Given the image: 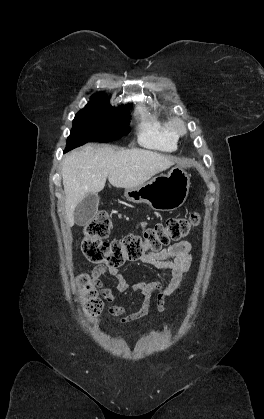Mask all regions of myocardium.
<instances>
[{
    "label": "myocardium",
    "instance_id": "myocardium-1",
    "mask_svg": "<svg viewBox=\"0 0 264 419\" xmlns=\"http://www.w3.org/2000/svg\"><path fill=\"white\" fill-rule=\"evenodd\" d=\"M169 126H170L171 132L173 133L175 137H181L185 135L187 132L186 123L180 117H177V116L172 117L169 120Z\"/></svg>",
    "mask_w": 264,
    "mask_h": 419
}]
</instances>
